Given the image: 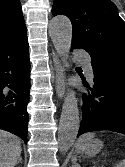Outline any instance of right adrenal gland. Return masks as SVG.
<instances>
[{
	"mask_svg": "<svg viewBox=\"0 0 125 167\" xmlns=\"http://www.w3.org/2000/svg\"><path fill=\"white\" fill-rule=\"evenodd\" d=\"M18 163H22V157H21V156L19 157V159H18V161L16 162V164H18Z\"/></svg>",
	"mask_w": 125,
	"mask_h": 167,
	"instance_id": "1",
	"label": "right adrenal gland"
}]
</instances>
